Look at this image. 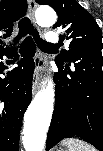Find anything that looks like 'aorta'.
I'll return each mask as SVG.
<instances>
[{
    "mask_svg": "<svg viewBox=\"0 0 103 151\" xmlns=\"http://www.w3.org/2000/svg\"><path fill=\"white\" fill-rule=\"evenodd\" d=\"M36 21L41 26H52L57 21L56 12L50 7H39L35 12ZM54 107V88L50 80L45 89L40 90L24 116L23 146L25 151H42L46 133L50 126Z\"/></svg>",
    "mask_w": 103,
    "mask_h": 151,
    "instance_id": "aorta-1",
    "label": "aorta"
}]
</instances>
